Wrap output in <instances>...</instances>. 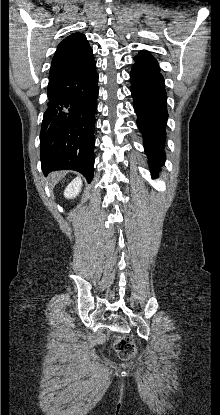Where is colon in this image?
<instances>
[{"label": "colon", "mask_w": 220, "mask_h": 415, "mask_svg": "<svg viewBox=\"0 0 220 415\" xmlns=\"http://www.w3.org/2000/svg\"><path fill=\"white\" fill-rule=\"evenodd\" d=\"M113 348L122 359H130L135 355V345L130 337H118Z\"/></svg>", "instance_id": "colon-1"}]
</instances>
